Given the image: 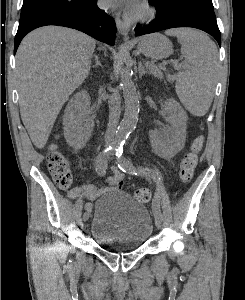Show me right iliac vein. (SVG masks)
Instances as JSON below:
<instances>
[{"label": "right iliac vein", "mask_w": 245, "mask_h": 300, "mask_svg": "<svg viewBox=\"0 0 245 300\" xmlns=\"http://www.w3.org/2000/svg\"><path fill=\"white\" fill-rule=\"evenodd\" d=\"M91 211H92V206L87 208L86 211L84 212V214H83L84 222H86L89 219V217L91 215Z\"/></svg>", "instance_id": "obj_1"}]
</instances>
